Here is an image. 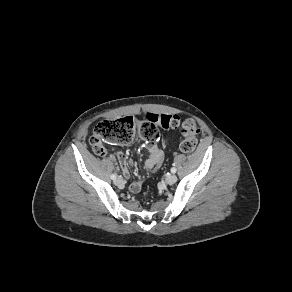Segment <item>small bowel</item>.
Masks as SVG:
<instances>
[{"label": "small bowel", "mask_w": 292, "mask_h": 292, "mask_svg": "<svg viewBox=\"0 0 292 292\" xmlns=\"http://www.w3.org/2000/svg\"><path fill=\"white\" fill-rule=\"evenodd\" d=\"M142 147H144L148 152L149 156L146 159L144 163V168L147 171H154L157 168H159L163 162L164 159V153L162 149L154 142H143ZM100 156H111L106 150L103 151V153L98 154ZM116 164L118 168L122 171V174L126 177H130V170L129 166L132 165V161L128 160L126 155L123 152H117L116 153ZM142 187V181L136 180L131 182L129 185V190L132 193H137L141 190Z\"/></svg>", "instance_id": "obj_1"}]
</instances>
